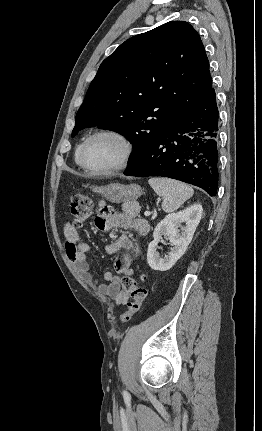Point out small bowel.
Segmentation results:
<instances>
[{"label": "small bowel", "instance_id": "c3829d8e", "mask_svg": "<svg viewBox=\"0 0 262 431\" xmlns=\"http://www.w3.org/2000/svg\"><path fill=\"white\" fill-rule=\"evenodd\" d=\"M105 207V201L98 202V208ZM95 224L100 230L111 229H134L141 237H146L149 231V223L141 218H130L122 212H115L109 215H99L95 219ZM65 237V248L69 261L74 266L75 271L82 281L89 285L101 297L111 298L116 305H123L127 297L121 290V279L133 274V260L142 253V247L139 242L133 240L130 236L123 234L114 242L108 244L105 251L108 255H115L122 251L129 250L131 255L120 254L115 261V269L118 274L107 272L104 274L105 283L96 279L91 271L90 264L87 260L86 253L90 246L80 242L77 230L70 222H66L63 229Z\"/></svg>", "mask_w": 262, "mask_h": 431}]
</instances>
